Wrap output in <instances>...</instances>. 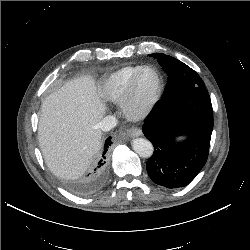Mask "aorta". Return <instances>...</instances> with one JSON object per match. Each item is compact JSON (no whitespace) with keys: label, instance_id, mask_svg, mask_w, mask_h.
<instances>
[{"label":"aorta","instance_id":"obj_1","mask_svg":"<svg viewBox=\"0 0 250 250\" xmlns=\"http://www.w3.org/2000/svg\"><path fill=\"white\" fill-rule=\"evenodd\" d=\"M133 150L142 158L152 156L154 148L152 143L144 138H136L132 141Z\"/></svg>","mask_w":250,"mask_h":250}]
</instances>
